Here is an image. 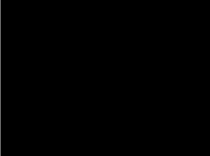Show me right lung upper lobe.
Here are the masks:
<instances>
[{"label": "right lung upper lobe", "mask_w": 210, "mask_h": 156, "mask_svg": "<svg viewBox=\"0 0 210 156\" xmlns=\"http://www.w3.org/2000/svg\"><path fill=\"white\" fill-rule=\"evenodd\" d=\"M76 90V84L65 76L56 78L49 87L46 127L57 138L79 135L85 128L78 116Z\"/></svg>", "instance_id": "cb5924a9"}]
</instances>
